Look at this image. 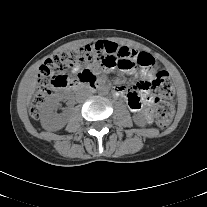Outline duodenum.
Masks as SVG:
<instances>
[{"label": "duodenum", "instance_id": "1", "mask_svg": "<svg viewBox=\"0 0 207 207\" xmlns=\"http://www.w3.org/2000/svg\"><path fill=\"white\" fill-rule=\"evenodd\" d=\"M71 86H73V89L78 91V90H81V89H85V88H90V89H95L96 88V83L93 80H87V79H84L82 81H79L77 83H74V84H70Z\"/></svg>", "mask_w": 207, "mask_h": 207}]
</instances>
